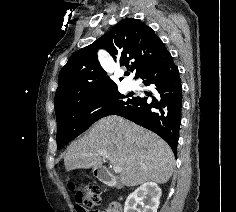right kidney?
I'll use <instances>...</instances> for the list:
<instances>
[{
    "label": "right kidney",
    "mask_w": 236,
    "mask_h": 212,
    "mask_svg": "<svg viewBox=\"0 0 236 212\" xmlns=\"http://www.w3.org/2000/svg\"><path fill=\"white\" fill-rule=\"evenodd\" d=\"M161 193V189L156 183H144L127 197L124 212L137 211V204L141 203L143 199H147V202L142 212H157Z\"/></svg>",
    "instance_id": "1"
}]
</instances>
